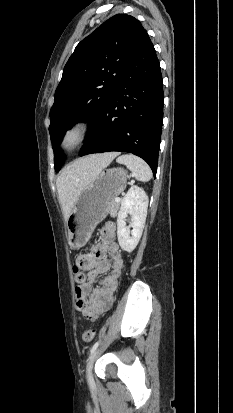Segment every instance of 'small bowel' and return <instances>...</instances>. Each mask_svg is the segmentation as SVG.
Listing matches in <instances>:
<instances>
[{"label":"small bowel","instance_id":"c3829d8e","mask_svg":"<svg viewBox=\"0 0 233 413\" xmlns=\"http://www.w3.org/2000/svg\"><path fill=\"white\" fill-rule=\"evenodd\" d=\"M116 227L107 223L101 230L99 243L90 254L78 257L84 270L88 271V281L76 287V308L82 316L95 320L99 314L109 310L113 303L114 293L123 267V258L115 241ZM101 286L93 288L97 277L108 272Z\"/></svg>","mask_w":233,"mask_h":413}]
</instances>
